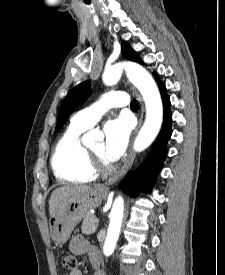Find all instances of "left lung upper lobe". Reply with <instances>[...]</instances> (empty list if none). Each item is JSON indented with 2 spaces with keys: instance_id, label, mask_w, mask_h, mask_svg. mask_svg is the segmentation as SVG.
<instances>
[{
  "instance_id": "left-lung-upper-lobe-1",
  "label": "left lung upper lobe",
  "mask_w": 225,
  "mask_h": 275,
  "mask_svg": "<svg viewBox=\"0 0 225 275\" xmlns=\"http://www.w3.org/2000/svg\"><path fill=\"white\" fill-rule=\"evenodd\" d=\"M122 54L131 61L142 64L139 55L126 43L122 42ZM90 94V82L85 81L73 88L63 100L59 112V119L56 126V131L60 130L71 112L82 104Z\"/></svg>"
}]
</instances>
